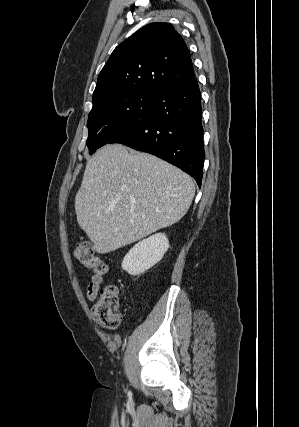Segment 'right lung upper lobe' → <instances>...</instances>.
<instances>
[{"instance_id":"obj_1","label":"right lung upper lobe","mask_w":299,"mask_h":427,"mask_svg":"<svg viewBox=\"0 0 299 427\" xmlns=\"http://www.w3.org/2000/svg\"><path fill=\"white\" fill-rule=\"evenodd\" d=\"M194 79L180 34L169 23H150L115 48L98 76L92 100L124 92L155 96Z\"/></svg>"}]
</instances>
